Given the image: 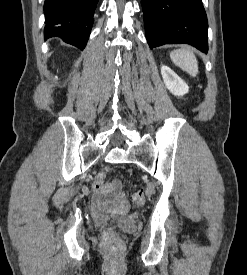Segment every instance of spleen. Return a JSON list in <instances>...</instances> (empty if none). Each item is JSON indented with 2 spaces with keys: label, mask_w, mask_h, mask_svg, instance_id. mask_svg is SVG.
Listing matches in <instances>:
<instances>
[{
  "label": "spleen",
  "mask_w": 247,
  "mask_h": 275,
  "mask_svg": "<svg viewBox=\"0 0 247 275\" xmlns=\"http://www.w3.org/2000/svg\"><path fill=\"white\" fill-rule=\"evenodd\" d=\"M172 62L195 77L198 74V61L194 53L187 49H177L170 53Z\"/></svg>",
  "instance_id": "3e777b00"
}]
</instances>
